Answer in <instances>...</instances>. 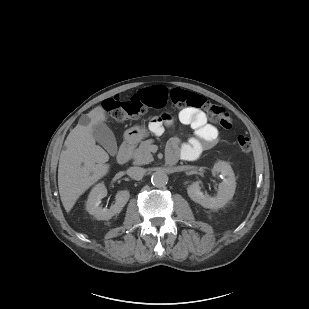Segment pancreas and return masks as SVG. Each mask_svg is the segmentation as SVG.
<instances>
[{
  "label": "pancreas",
  "instance_id": "pancreas-1",
  "mask_svg": "<svg viewBox=\"0 0 309 309\" xmlns=\"http://www.w3.org/2000/svg\"><path fill=\"white\" fill-rule=\"evenodd\" d=\"M153 142V139L142 141L139 147L132 152L131 157L135 165L149 164L153 160V156L149 150Z\"/></svg>",
  "mask_w": 309,
  "mask_h": 309
}]
</instances>
